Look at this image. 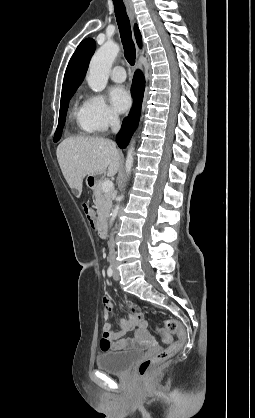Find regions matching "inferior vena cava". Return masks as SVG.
Masks as SVG:
<instances>
[{"instance_id": "inferior-vena-cava-1", "label": "inferior vena cava", "mask_w": 255, "mask_h": 418, "mask_svg": "<svg viewBox=\"0 0 255 418\" xmlns=\"http://www.w3.org/2000/svg\"><path fill=\"white\" fill-rule=\"evenodd\" d=\"M109 123L111 126V129L114 133H117L120 129V119L119 116L115 113H112L109 117ZM115 249H114V241H113V234L110 238L109 241V260H114L115 259Z\"/></svg>"}]
</instances>
